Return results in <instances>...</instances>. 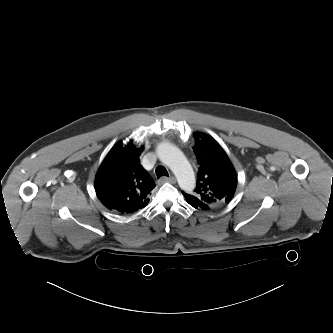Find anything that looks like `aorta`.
<instances>
[{"label": "aorta", "instance_id": "obj_1", "mask_svg": "<svg viewBox=\"0 0 333 333\" xmlns=\"http://www.w3.org/2000/svg\"><path fill=\"white\" fill-rule=\"evenodd\" d=\"M157 155L162 163L175 174L180 188L191 192L195 188L194 171L182 151L176 146L163 142L157 147Z\"/></svg>", "mask_w": 333, "mask_h": 333}]
</instances>
